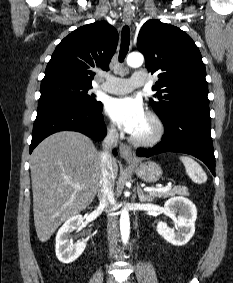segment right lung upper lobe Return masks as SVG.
<instances>
[{"instance_id":"right-lung-upper-lobe-1","label":"right lung upper lobe","mask_w":233,"mask_h":283,"mask_svg":"<svg viewBox=\"0 0 233 283\" xmlns=\"http://www.w3.org/2000/svg\"><path fill=\"white\" fill-rule=\"evenodd\" d=\"M117 44L118 33L106 21L74 30L57 45L42 82L65 80L92 87L95 71L109 70Z\"/></svg>"}]
</instances>
